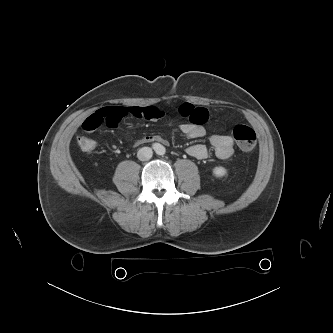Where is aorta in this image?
I'll use <instances>...</instances> for the list:
<instances>
[{
  "label": "aorta",
  "mask_w": 333,
  "mask_h": 333,
  "mask_svg": "<svg viewBox=\"0 0 333 333\" xmlns=\"http://www.w3.org/2000/svg\"><path fill=\"white\" fill-rule=\"evenodd\" d=\"M165 152H166L165 147H164L163 145L159 144V145L157 146V148H156V153H157L158 155H164Z\"/></svg>",
  "instance_id": "aorta-1"
}]
</instances>
